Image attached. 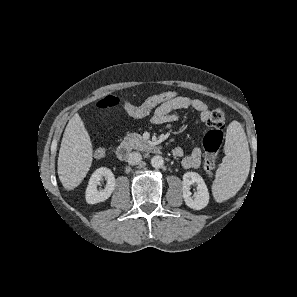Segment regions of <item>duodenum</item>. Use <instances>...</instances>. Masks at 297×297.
<instances>
[{
  "label": "duodenum",
  "mask_w": 297,
  "mask_h": 297,
  "mask_svg": "<svg viewBox=\"0 0 297 297\" xmlns=\"http://www.w3.org/2000/svg\"><path fill=\"white\" fill-rule=\"evenodd\" d=\"M147 150L153 154H159L161 152L160 147L157 145L149 144L147 145ZM131 153V147L127 143L120 144L116 150L115 155L119 161H125Z\"/></svg>",
  "instance_id": "410a0bca"
}]
</instances>
